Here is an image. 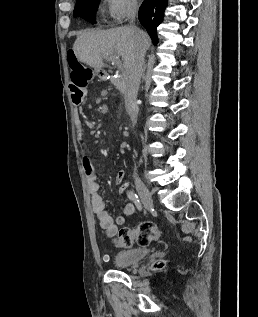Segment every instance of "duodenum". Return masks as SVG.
<instances>
[{
    "instance_id": "1",
    "label": "duodenum",
    "mask_w": 258,
    "mask_h": 317,
    "mask_svg": "<svg viewBox=\"0 0 258 317\" xmlns=\"http://www.w3.org/2000/svg\"><path fill=\"white\" fill-rule=\"evenodd\" d=\"M69 89L73 104L76 106L80 105L87 95V87L79 81L71 79Z\"/></svg>"
}]
</instances>
